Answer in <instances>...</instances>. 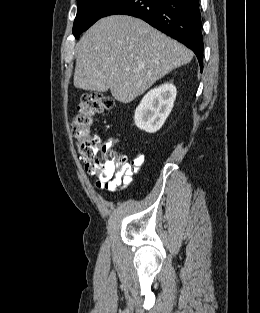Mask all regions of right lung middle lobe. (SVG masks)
I'll return each mask as SVG.
<instances>
[{
    "label": "right lung middle lobe",
    "instance_id": "obj_1",
    "mask_svg": "<svg viewBox=\"0 0 260 313\" xmlns=\"http://www.w3.org/2000/svg\"><path fill=\"white\" fill-rule=\"evenodd\" d=\"M118 0H77V15L73 25L76 38L92 26Z\"/></svg>",
    "mask_w": 260,
    "mask_h": 313
}]
</instances>
